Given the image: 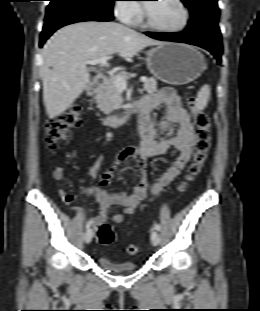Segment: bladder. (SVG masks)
I'll return each mask as SVG.
<instances>
[{
  "label": "bladder",
  "mask_w": 260,
  "mask_h": 311,
  "mask_svg": "<svg viewBox=\"0 0 260 311\" xmlns=\"http://www.w3.org/2000/svg\"><path fill=\"white\" fill-rule=\"evenodd\" d=\"M95 260L103 268L115 272L131 271L138 268V264L136 262L133 261L114 262L111 259H109L103 252H98L95 255Z\"/></svg>",
  "instance_id": "31cf9c89"
}]
</instances>
